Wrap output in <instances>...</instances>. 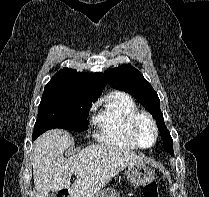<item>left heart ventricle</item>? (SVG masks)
<instances>
[{"label": "left heart ventricle", "instance_id": "obj_1", "mask_svg": "<svg viewBox=\"0 0 209 197\" xmlns=\"http://www.w3.org/2000/svg\"><path fill=\"white\" fill-rule=\"evenodd\" d=\"M139 140L142 145L150 146L154 141V130L151 124L146 120L142 119L138 126Z\"/></svg>", "mask_w": 209, "mask_h": 197}]
</instances>
